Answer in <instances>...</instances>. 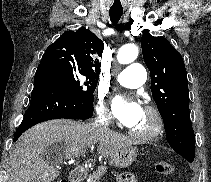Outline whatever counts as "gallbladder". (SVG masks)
<instances>
[{
	"label": "gallbladder",
	"instance_id": "obj_1",
	"mask_svg": "<svg viewBox=\"0 0 211 182\" xmlns=\"http://www.w3.org/2000/svg\"><path fill=\"white\" fill-rule=\"evenodd\" d=\"M56 151L60 152L61 156H63V145L60 143L50 145L45 151V158L49 159L50 161L60 160V157L55 156Z\"/></svg>",
	"mask_w": 211,
	"mask_h": 182
}]
</instances>
